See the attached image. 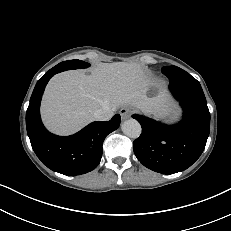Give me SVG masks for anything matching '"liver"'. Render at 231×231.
<instances>
[{
	"label": "liver",
	"mask_w": 231,
	"mask_h": 231,
	"mask_svg": "<svg viewBox=\"0 0 231 231\" xmlns=\"http://www.w3.org/2000/svg\"><path fill=\"white\" fill-rule=\"evenodd\" d=\"M151 84V75L137 63L99 64L90 75L81 70L59 73L44 92L43 122L53 133L68 135L92 122L94 112L104 106L116 109L131 105L155 116L164 115L170 105L169 96L159 85L158 95L147 97Z\"/></svg>",
	"instance_id": "liver-1"
}]
</instances>
